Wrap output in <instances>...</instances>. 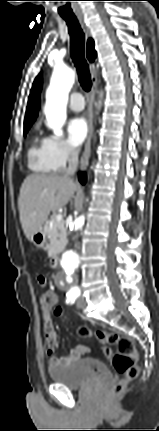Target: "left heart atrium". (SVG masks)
Returning <instances> with one entry per match:
<instances>
[{
  "label": "left heart atrium",
  "instance_id": "1",
  "mask_svg": "<svg viewBox=\"0 0 159 431\" xmlns=\"http://www.w3.org/2000/svg\"><path fill=\"white\" fill-rule=\"evenodd\" d=\"M67 130L71 144L78 146L87 136V122L83 117H75L68 123Z\"/></svg>",
  "mask_w": 159,
  "mask_h": 431
}]
</instances>
